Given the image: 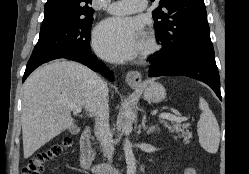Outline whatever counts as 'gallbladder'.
Returning <instances> with one entry per match:
<instances>
[{"label":"gallbladder","mask_w":249,"mask_h":174,"mask_svg":"<svg viewBox=\"0 0 249 174\" xmlns=\"http://www.w3.org/2000/svg\"><path fill=\"white\" fill-rule=\"evenodd\" d=\"M74 130H76V127H71L70 128V131H74Z\"/></svg>","instance_id":"bac80fb5"}]
</instances>
